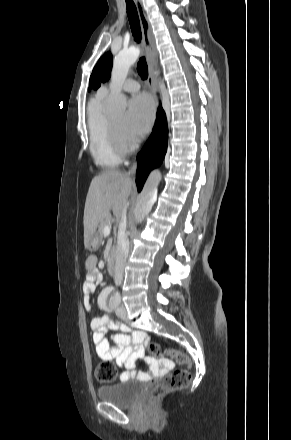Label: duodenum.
Listing matches in <instances>:
<instances>
[{"mask_svg": "<svg viewBox=\"0 0 291 440\" xmlns=\"http://www.w3.org/2000/svg\"><path fill=\"white\" fill-rule=\"evenodd\" d=\"M107 266H108V272L110 275H113L115 273V267H116V258H115V251H111L109 255L106 258Z\"/></svg>", "mask_w": 291, "mask_h": 440, "instance_id": "1", "label": "duodenum"}]
</instances>
